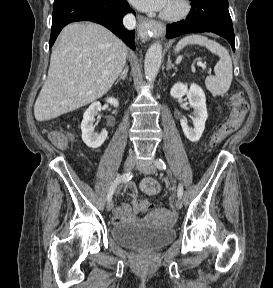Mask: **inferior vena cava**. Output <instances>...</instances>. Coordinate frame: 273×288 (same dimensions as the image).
I'll return each instance as SVG.
<instances>
[{
    "label": "inferior vena cava",
    "instance_id": "inferior-vena-cava-1",
    "mask_svg": "<svg viewBox=\"0 0 273 288\" xmlns=\"http://www.w3.org/2000/svg\"><path fill=\"white\" fill-rule=\"evenodd\" d=\"M123 24L129 30L134 29L136 26L135 17L132 14H127L123 18Z\"/></svg>",
    "mask_w": 273,
    "mask_h": 288
}]
</instances>
